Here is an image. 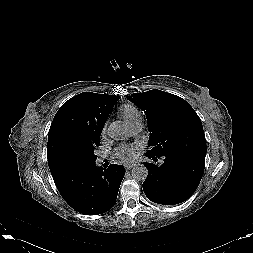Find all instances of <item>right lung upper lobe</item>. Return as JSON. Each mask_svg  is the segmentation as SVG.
<instances>
[{
	"mask_svg": "<svg viewBox=\"0 0 253 253\" xmlns=\"http://www.w3.org/2000/svg\"><path fill=\"white\" fill-rule=\"evenodd\" d=\"M120 96L83 92L66 101L56 113L48 134V163L52 176L59 156L69 147L100 140L108 115Z\"/></svg>",
	"mask_w": 253,
	"mask_h": 253,
	"instance_id": "1",
	"label": "right lung upper lobe"
}]
</instances>
